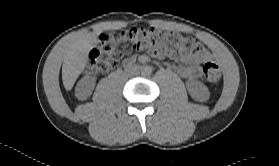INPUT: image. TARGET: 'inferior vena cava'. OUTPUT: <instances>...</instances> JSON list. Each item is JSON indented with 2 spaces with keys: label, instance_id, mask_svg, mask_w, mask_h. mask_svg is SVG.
Wrapping results in <instances>:
<instances>
[{
  "label": "inferior vena cava",
  "instance_id": "1",
  "mask_svg": "<svg viewBox=\"0 0 279 166\" xmlns=\"http://www.w3.org/2000/svg\"><path fill=\"white\" fill-rule=\"evenodd\" d=\"M129 73L135 75V74H137L138 72H137L136 70H134V71H129Z\"/></svg>",
  "mask_w": 279,
  "mask_h": 166
}]
</instances>
